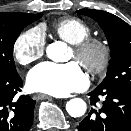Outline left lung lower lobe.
I'll list each match as a JSON object with an SVG mask.
<instances>
[{
    "label": "left lung lower lobe",
    "mask_w": 131,
    "mask_h": 131,
    "mask_svg": "<svg viewBox=\"0 0 131 131\" xmlns=\"http://www.w3.org/2000/svg\"><path fill=\"white\" fill-rule=\"evenodd\" d=\"M89 115L77 126L79 131H131V90L97 87L90 92ZM104 101L99 107L100 97Z\"/></svg>",
    "instance_id": "0a47b994"
}]
</instances>
